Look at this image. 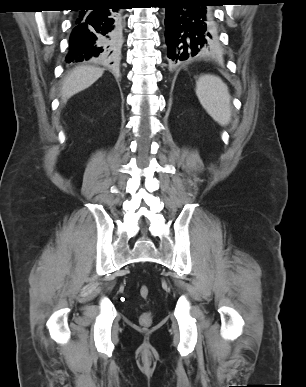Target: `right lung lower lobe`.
Segmentation results:
<instances>
[{
	"instance_id": "right-lung-lower-lobe-1",
	"label": "right lung lower lobe",
	"mask_w": 306,
	"mask_h": 387,
	"mask_svg": "<svg viewBox=\"0 0 306 387\" xmlns=\"http://www.w3.org/2000/svg\"><path fill=\"white\" fill-rule=\"evenodd\" d=\"M92 10H77L66 62L113 63L120 48V5L110 1L88 3ZM112 8V9H109Z\"/></svg>"
}]
</instances>
